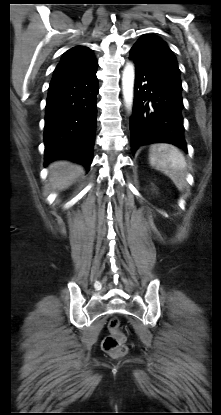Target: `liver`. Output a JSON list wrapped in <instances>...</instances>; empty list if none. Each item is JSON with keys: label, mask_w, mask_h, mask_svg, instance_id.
Masks as SVG:
<instances>
[{"label": "liver", "mask_w": 221, "mask_h": 415, "mask_svg": "<svg viewBox=\"0 0 221 415\" xmlns=\"http://www.w3.org/2000/svg\"><path fill=\"white\" fill-rule=\"evenodd\" d=\"M83 172L80 165L69 161H55L49 165V182L53 189L68 188Z\"/></svg>", "instance_id": "6515ba94"}]
</instances>
